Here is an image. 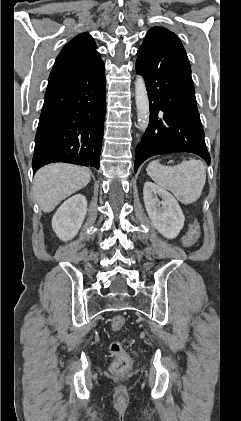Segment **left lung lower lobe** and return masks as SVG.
Segmentation results:
<instances>
[{"label":"left lung lower lobe","mask_w":241,"mask_h":421,"mask_svg":"<svg viewBox=\"0 0 241 421\" xmlns=\"http://www.w3.org/2000/svg\"><path fill=\"white\" fill-rule=\"evenodd\" d=\"M136 71L142 74L150 102L149 126L136 147L135 172L149 157L190 152L208 164L191 68L176 35L148 32L137 52Z\"/></svg>","instance_id":"obj_1"}]
</instances>
